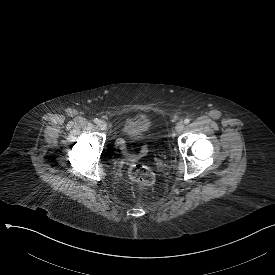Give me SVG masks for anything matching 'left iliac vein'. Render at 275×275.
<instances>
[{
	"mask_svg": "<svg viewBox=\"0 0 275 275\" xmlns=\"http://www.w3.org/2000/svg\"><path fill=\"white\" fill-rule=\"evenodd\" d=\"M184 129V123L178 122L176 125V133L180 134Z\"/></svg>",
	"mask_w": 275,
	"mask_h": 275,
	"instance_id": "4c4485c4",
	"label": "left iliac vein"
}]
</instances>
